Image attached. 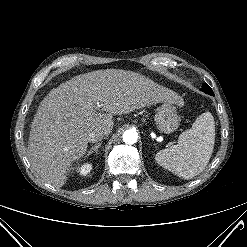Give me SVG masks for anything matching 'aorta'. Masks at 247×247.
<instances>
[{"label":"aorta","mask_w":247,"mask_h":247,"mask_svg":"<svg viewBox=\"0 0 247 247\" xmlns=\"http://www.w3.org/2000/svg\"><path fill=\"white\" fill-rule=\"evenodd\" d=\"M122 136H123V141L129 145L136 143L138 139V134L133 129L126 130Z\"/></svg>","instance_id":"aorta-1"}]
</instances>
